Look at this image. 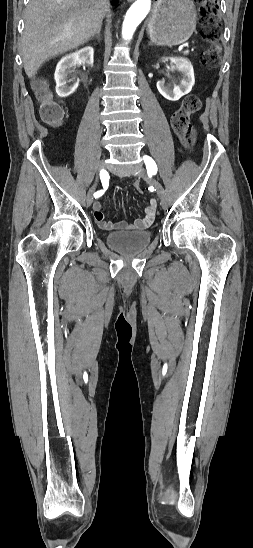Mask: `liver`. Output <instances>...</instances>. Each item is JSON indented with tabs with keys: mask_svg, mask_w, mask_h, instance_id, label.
Returning <instances> with one entry per match:
<instances>
[{
	"mask_svg": "<svg viewBox=\"0 0 253 548\" xmlns=\"http://www.w3.org/2000/svg\"><path fill=\"white\" fill-rule=\"evenodd\" d=\"M108 0H30L25 11L21 55L33 78L48 59L86 43L102 26Z\"/></svg>",
	"mask_w": 253,
	"mask_h": 548,
	"instance_id": "obj_1",
	"label": "liver"
}]
</instances>
